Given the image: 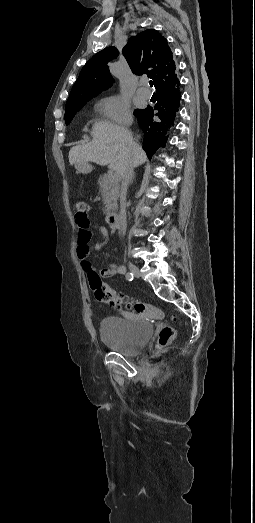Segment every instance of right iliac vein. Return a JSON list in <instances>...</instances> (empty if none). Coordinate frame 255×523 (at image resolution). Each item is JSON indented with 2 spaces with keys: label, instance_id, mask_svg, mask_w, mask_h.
Instances as JSON below:
<instances>
[{
  "label": "right iliac vein",
  "instance_id": "obj_1",
  "mask_svg": "<svg viewBox=\"0 0 255 523\" xmlns=\"http://www.w3.org/2000/svg\"><path fill=\"white\" fill-rule=\"evenodd\" d=\"M128 266L134 276H136V277L140 276L139 268L135 264H133L132 262H129Z\"/></svg>",
  "mask_w": 255,
  "mask_h": 523
}]
</instances>
